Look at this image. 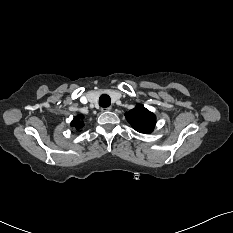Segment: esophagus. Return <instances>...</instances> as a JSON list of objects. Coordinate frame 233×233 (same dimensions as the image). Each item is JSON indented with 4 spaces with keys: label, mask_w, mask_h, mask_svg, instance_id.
<instances>
[{
    "label": "esophagus",
    "mask_w": 233,
    "mask_h": 233,
    "mask_svg": "<svg viewBox=\"0 0 233 233\" xmlns=\"http://www.w3.org/2000/svg\"><path fill=\"white\" fill-rule=\"evenodd\" d=\"M111 107H106V108H102L101 111L102 112H108V111H111Z\"/></svg>",
    "instance_id": "obj_1"
}]
</instances>
